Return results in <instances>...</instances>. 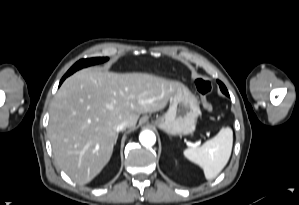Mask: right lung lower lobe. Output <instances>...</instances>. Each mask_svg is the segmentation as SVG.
<instances>
[{
  "instance_id": "right-lung-lower-lobe-1",
  "label": "right lung lower lobe",
  "mask_w": 299,
  "mask_h": 205,
  "mask_svg": "<svg viewBox=\"0 0 299 205\" xmlns=\"http://www.w3.org/2000/svg\"><path fill=\"white\" fill-rule=\"evenodd\" d=\"M66 78V76H64L63 78H62V80H61V82H60V84L64 81V79Z\"/></svg>"
}]
</instances>
